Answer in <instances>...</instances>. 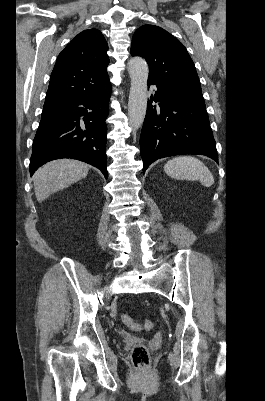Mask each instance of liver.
I'll return each instance as SVG.
<instances>
[{"mask_svg":"<svg viewBox=\"0 0 265 401\" xmlns=\"http://www.w3.org/2000/svg\"><path fill=\"white\" fill-rule=\"evenodd\" d=\"M88 170L89 164L80 160H70V158H61V160H52L43 164L33 176L38 203L45 201L52 192L67 188L72 182L85 178Z\"/></svg>","mask_w":265,"mask_h":401,"instance_id":"obj_1","label":"liver"}]
</instances>
